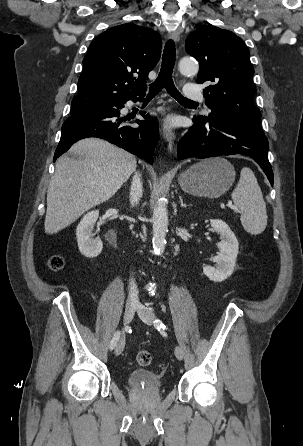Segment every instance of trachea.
Returning a JSON list of instances; mask_svg holds the SVG:
<instances>
[{
	"label": "trachea",
	"instance_id": "1",
	"mask_svg": "<svg viewBox=\"0 0 303 446\" xmlns=\"http://www.w3.org/2000/svg\"><path fill=\"white\" fill-rule=\"evenodd\" d=\"M175 43L172 39L168 40L162 55V65L156 80L150 84L149 93L147 97H154L163 88L167 90L170 96L180 103H194L181 95L173 83L172 73L175 65Z\"/></svg>",
	"mask_w": 303,
	"mask_h": 446
}]
</instances>
